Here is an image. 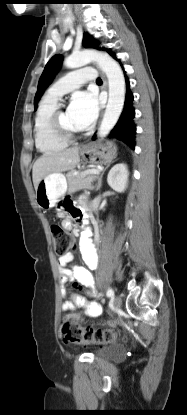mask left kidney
<instances>
[{
	"label": "left kidney",
	"instance_id": "obj_1",
	"mask_svg": "<svg viewBox=\"0 0 187 415\" xmlns=\"http://www.w3.org/2000/svg\"><path fill=\"white\" fill-rule=\"evenodd\" d=\"M129 172L127 165L119 163L114 165L107 176L108 185L116 192H124L128 184Z\"/></svg>",
	"mask_w": 187,
	"mask_h": 415
}]
</instances>
